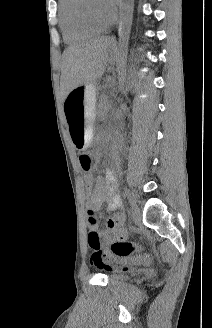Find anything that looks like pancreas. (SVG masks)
<instances>
[{
	"label": "pancreas",
	"instance_id": "obj_1",
	"mask_svg": "<svg viewBox=\"0 0 212 328\" xmlns=\"http://www.w3.org/2000/svg\"><path fill=\"white\" fill-rule=\"evenodd\" d=\"M99 107H100L101 109H107V108L109 107V104H108L107 100H106V99H103V100L100 102Z\"/></svg>",
	"mask_w": 212,
	"mask_h": 328
}]
</instances>
